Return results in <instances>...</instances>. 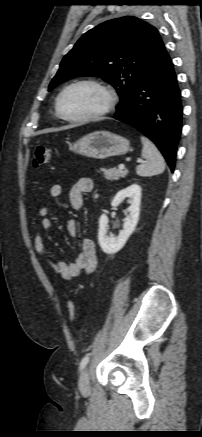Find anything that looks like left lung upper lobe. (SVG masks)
Listing matches in <instances>:
<instances>
[{
  "label": "left lung upper lobe",
  "mask_w": 202,
  "mask_h": 437,
  "mask_svg": "<svg viewBox=\"0 0 202 437\" xmlns=\"http://www.w3.org/2000/svg\"><path fill=\"white\" fill-rule=\"evenodd\" d=\"M167 51L157 29L133 16L106 21L86 32L63 58L49 85L77 76H97L110 83L123 105L162 63Z\"/></svg>",
  "instance_id": "1"
}]
</instances>
